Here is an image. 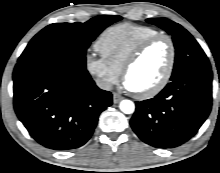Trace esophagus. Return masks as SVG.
I'll use <instances>...</instances> for the list:
<instances>
[{
	"instance_id": "obj_1",
	"label": "esophagus",
	"mask_w": 220,
	"mask_h": 173,
	"mask_svg": "<svg viewBox=\"0 0 220 173\" xmlns=\"http://www.w3.org/2000/svg\"><path fill=\"white\" fill-rule=\"evenodd\" d=\"M123 99V96L119 95L118 93H113V102L119 103Z\"/></svg>"
}]
</instances>
